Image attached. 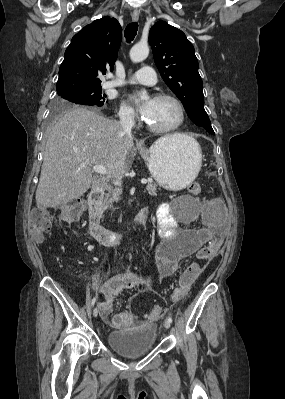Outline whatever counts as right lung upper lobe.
Instances as JSON below:
<instances>
[{
	"label": "right lung upper lobe",
	"instance_id": "1",
	"mask_svg": "<svg viewBox=\"0 0 285 399\" xmlns=\"http://www.w3.org/2000/svg\"><path fill=\"white\" fill-rule=\"evenodd\" d=\"M122 28L108 16L93 21L73 36L59 69L57 92L100 87L98 76L113 70Z\"/></svg>",
	"mask_w": 285,
	"mask_h": 399
}]
</instances>
